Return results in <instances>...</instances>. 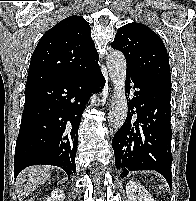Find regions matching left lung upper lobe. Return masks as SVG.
I'll use <instances>...</instances> for the list:
<instances>
[{"label":"left lung upper lobe","mask_w":196,"mask_h":201,"mask_svg":"<svg viewBox=\"0 0 196 201\" xmlns=\"http://www.w3.org/2000/svg\"><path fill=\"white\" fill-rule=\"evenodd\" d=\"M111 46L124 54L127 71L171 90L167 50L148 26L133 22L120 27Z\"/></svg>","instance_id":"obj_1"}]
</instances>
